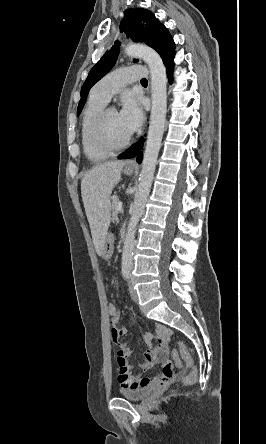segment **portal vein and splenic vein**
<instances>
[{
  "label": "portal vein and splenic vein",
  "mask_w": 266,
  "mask_h": 444,
  "mask_svg": "<svg viewBox=\"0 0 266 444\" xmlns=\"http://www.w3.org/2000/svg\"><path fill=\"white\" fill-rule=\"evenodd\" d=\"M122 210V202L118 203L117 211L120 212Z\"/></svg>",
  "instance_id": "1"
}]
</instances>
